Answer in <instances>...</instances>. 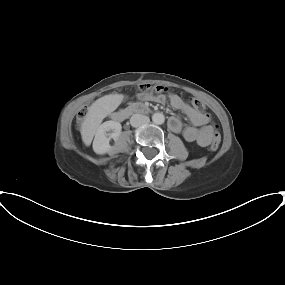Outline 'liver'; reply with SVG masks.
Wrapping results in <instances>:
<instances>
[{"mask_svg":"<svg viewBox=\"0 0 285 285\" xmlns=\"http://www.w3.org/2000/svg\"><path fill=\"white\" fill-rule=\"evenodd\" d=\"M117 99V95H105L93 102L88 108V112L81 125L82 141L86 146L91 144L103 118L115 108Z\"/></svg>","mask_w":285,"mask_h":285,"instance_id":"6515ba94","label":"liver"}]
</instances>
